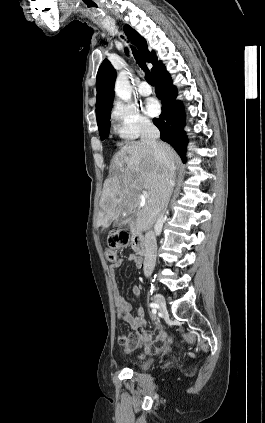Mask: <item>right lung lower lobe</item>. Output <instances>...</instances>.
I'll return each instance as SVG.
<instances>
[{
  "label": "right lung lower lobe",
  "mask_w": 265,
  "mask_h": 423,
  "mask_svg": "<svg viewBox=\"0 0 265 423\" xmlns=\"http://www.w3.org/2000/svg\"><path fill=\"white\" fill-rule=\"evenodd\" d=\"M156 87L155 92L162 101V113L153 123L161 133V139L169 143L180 155L183 161L186 160L187 138L183 127L185 125L184 108L180 101L175 100L177 96L176 87L164 65L159 67L153 75Z\"/></svg>",
  "instance_id": "98d812e1"
}]
</instances>
